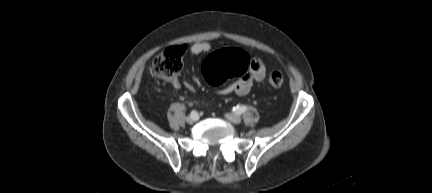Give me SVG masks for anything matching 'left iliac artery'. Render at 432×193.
<instances>
[{"mask_svg":"<svg viewBox=\"0 0 432 193\" xmlns=\"http://www.w3.org/2000/svg\"><path fill=\"white\" fill-rule=\"evenodd\" d=\"M247 110V107L246 106H244V105H242V106H236V107H234L233 108V111L235 112V113H237V114H242V113H244L245 111Z\"/></svg>","mask_w":432,"mask_h":193,"instance_id":"1","label":"left iliac artery"}]
</instances>
